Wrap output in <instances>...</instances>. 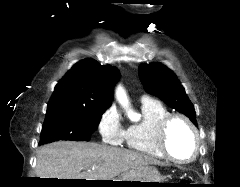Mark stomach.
I'll list each match as a JSON object with an SVG mask.
<instances>
[{"instance_id": "1", "label": "stomach", "mask_w": 240, "mask_h": 187, "mask_svg": "<svg viewBox=\"0 0 240 187\" xmlns=\"http://www.w3.org/2000/svg\"><path fill=\"white\" fill-rule=\"evenodd\" d=\"M111 181H124V182H111V186L121 187H158L161 182V175L154 166H143L135 170H131L122 174L116 180ZM141 182H158V183H141ZM114 183V184H113Z\"/></svg>"}]
</instances>
